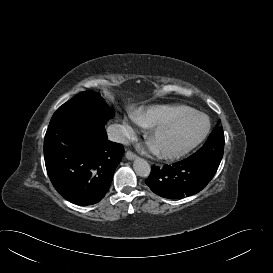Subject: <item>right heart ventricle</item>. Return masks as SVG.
Listing matches in <instances>:
<instances>
[{"label": "right heart ventricle", "mask_w": 273, "mask_h": 273, "mask_svg": "<svg viewBox=\"0 0 273 273\" xmlns=\"http://www.w3.org/2000/svg\"><path fill=\"white\" fill-rule=\"evenodd\" d=\"M190 111L192 108L185 105H164L153 107L146 113L136 112L134 118L141 126L152 128L171 123Z\"/></svg>", "instance_id": "e07e8e85"}]
</instances>
